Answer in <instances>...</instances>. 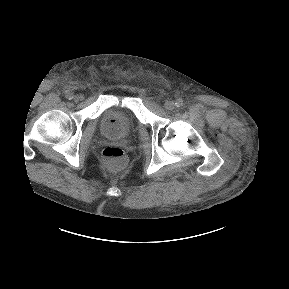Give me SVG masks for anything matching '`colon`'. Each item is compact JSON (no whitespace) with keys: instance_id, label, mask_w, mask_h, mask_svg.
I'll return each mask as SVG.
<instances>
[{"instance_id":"5ec220e1","label":"colon","mask_w":289,"mask_h":289,"mask_svg":"<svg viewBox=\"0 0 289 289\" xmlns=\"http://www.w3.org/2000/svg\"><path fill=\"white\" fill-rule=\"evenodd\" d=\"M103 163L113 171L122 170L127 162L124 151L117 146H108L102 151Z\"/></svg>"}]
</instances>
